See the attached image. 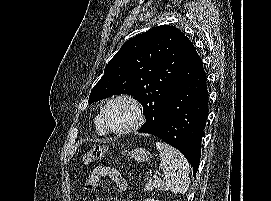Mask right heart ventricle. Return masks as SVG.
I'll use <instances>...</instances> for the list:
<instances>
[{"instance_id": "right-heart-ventricle-1", "label": "right heart ventricle", "mask_w": 271, "mask_h": 201, "mask_svg": "<svg viewBox=\"0 0 271 201\" xmlns=\"http://www.w3.org/2000/svg\"><path fill=\"white\" fill-rule=\"evenodd\" d=\"M94 127H95V131L98 135L100 136H104L106 135L108 132L106 131V129L104 128L101 119H100V114H97L95 116L94 119Z\"/></svg>"}]
</instances>
